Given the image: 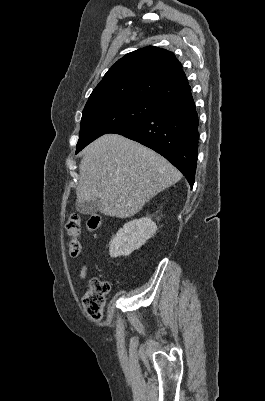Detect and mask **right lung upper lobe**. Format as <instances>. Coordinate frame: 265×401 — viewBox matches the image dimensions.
Wrapping results in <instances>:
<instances>
[{
  "label": "right lung upper lobe",
  "instance_id": "1",
  "mask_svg": "<svg viewBox=\"0 0 265 401\" xmlns=\"http://www.w3.org/2000/svg\"><path fill=\"white\" fill-rule=\"evenodd\" d=\"M190 92L182 65L174 53L148 46L119 59L93 90L86 106L126 99L163 104Z\"/></svg>",
  "mask_w": 265,
  "mask_h": 401
}]
</instances>
